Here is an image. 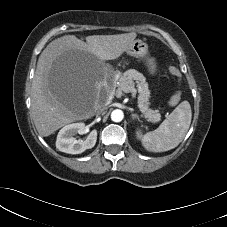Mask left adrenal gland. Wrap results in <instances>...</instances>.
Listing matches in <instances>:
<instances>
[{
	"label": "left adrenal gland",
	"mask_w": 227,
	"mask_h": 227,
	"mask_svg": "<svg viewBox=\"0 0 227 227\" xmlns=\"http://www.w3.org/2000/svg\"><path fill=\"white\" fill-rule=\"evenodd\" d=\"M131 118H132L133 120H134V119H138V120H139L138 115H137V114H134V113L131 114Z\"/></svg>",
	"instance_id": "obj_1"
}]
</instances>
